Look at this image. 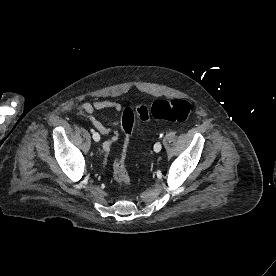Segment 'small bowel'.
I'll return each instance as SVG.
<instances>
[{
	"instance_id": "obj_1",
	"label": "small bowel",
	"mask_w": 276,
	"mask_h": 276,
	"mask_svg": "<svg viewBox=\"0 0 276 276\" xmlns=\"http://www.w3.org/2000/svg\"><path fill=\"white\" fill-rule=\"evenodd\" d=\"M103 110H113L116 114L115 119L102 117L109 125L105 126L96 116V112ZM123 107L120 103L113 100H98L95 102H84L78 106L79 115L94 126V128L103 135H110V138L103 143V149L108 154L112 145L118 140L119 133L112 127L120 124Z\"/></svg>"
}]
</instances>
